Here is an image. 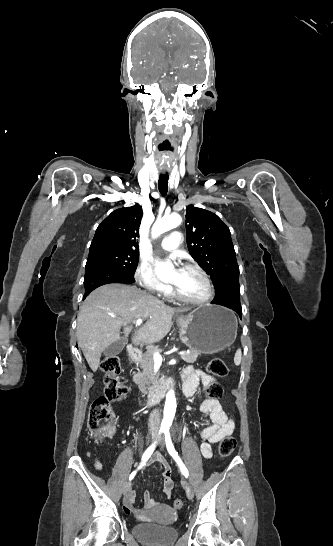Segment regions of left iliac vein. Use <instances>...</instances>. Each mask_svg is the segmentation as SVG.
Listing matches in <instances>:
<instances>
[{"label":"left iliac vein","mask_w":333,"mask_h":546,"mask_svg":"<svg viewBox=\"0 0 333 546\" xmlns=\"http://www.w3.org/2000/svg\"><path fill=\"white\" fill-rule=\"evenodd\" d=\"M160 441H162V439ZM183 488L186 491V495H187L188 499L191 500L193 498V496H194V492H193L192 487L190 486V484L188 482L185 481V482H183Z\"/></svg>","instance_id":"4c4485c4"}]
</instances>
